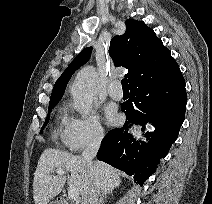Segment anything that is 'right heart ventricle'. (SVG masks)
<instances>
[{
	"instance_id": "e07e8e85",
	"label": "right heart ventricle",
	"mask_w": 212,
	"mask_h": 204,
	"mask_svg": "<svg viewBox=\"0 0 212 204\" xmlns=\"http://www.w3.org/2000/svg\"><path fill=\"white\" fill-rule=\"evenodd\" d=\"M58 119H59V125L56 128L54 135L55 137H64L65 134V126H66V122H67V115L65 110L62 108L60 109L59 113H58Z\"/></svg>"
}]
</instances>
